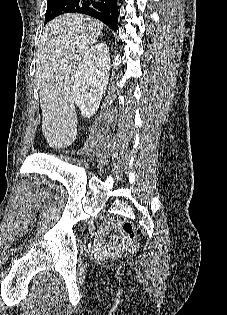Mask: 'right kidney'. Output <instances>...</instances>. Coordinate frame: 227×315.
Segmentation results:
<instances>
[{"label": "right kidney", "mask_w": 227, "mask_h": 315, "mask_svg": "<svg viewBox=\"0 0 227 315\" xmlns=\"http://www.w3.org/2000/svg\"><path fill=\"white\" fill-rule=\"evenodd\" d=\"M110 70V54L102 42L91 47L80 62L73 85V98L82 115L92 117L105 94Z\"/></svg>", "instance_id": "ca27d5eb"}]
</instances>
